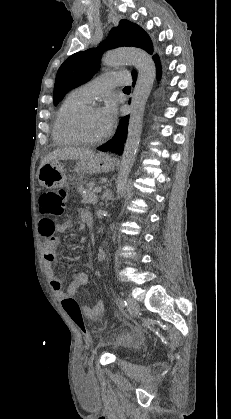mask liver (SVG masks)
I'll return each instance as SVG.
<instances>
[{
    "instance_id": "6515ba94",
    "label": "liver",
    "mask_w": 231,
    "mask_h": 419,
    "mask_svg": "<svg viewBox=\"0 0 231 419\" xmlns=\"http://www.w3.org/2000/svg\"><path fill=\"white\" fill-rule=\"evenodd\" d=\"M95 154L93 150L76 148V147H65L58 148L53 152L49 153L41 162V165L49 163L55 160H82L91 157ZM40 165V166H41Z\"/></svg>"
}]
</instances>
